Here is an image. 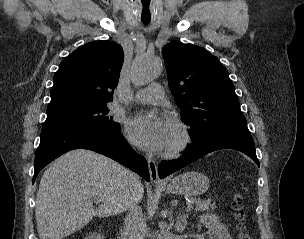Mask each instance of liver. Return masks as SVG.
Wrapping results in <instances>:
<instances>
[{"label":"liver","mask_w":304,"mask_h":239,"mask_svg":"<svg viewBox=\"0 0 304 239\" xmlns=\"http://www.w3.org/2000/svg\"><path fill=\"white\" fill-rule=\"evenodd\" d=\"M127 171L90 150H72L57 158L43 173L36 197L40 239H62L81 230L95 216L124 211ZM143 195L140 183L136 189L139 202ZM93 201L100 203L97 208Z\"/></svg>","instance_id":"liver-1"}]
</instances>
